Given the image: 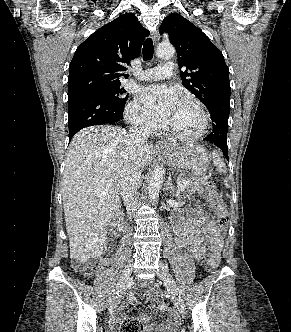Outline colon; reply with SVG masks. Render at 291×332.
I'll return each mask as SVG.
<instances>
[{
	"label": "colon",
	"mask_w": 291,
	"mask_h": 332,
	"mask_svg": "<svg viewBox=\"0 0 291 332\" xmlns=\"http://www.w3.org/2000/svg\"><path fill=\"white\" fill-rule=\"evenodd\" d=\"M202 191L216 212L218 224L220 227H225L228 222L227 208L225 203L217 196L215 185L212 182H208L203 187ZM219 262V256L215 253H212L207 259L208 266L211 269L217 268ZM79 268L86 275H90L92 273V268L90 266H79ZM120 332H143V326L141 322L136 319H126L120 325Z\"/></svg>",
	"instance_id": "1"
}]
</instances>
